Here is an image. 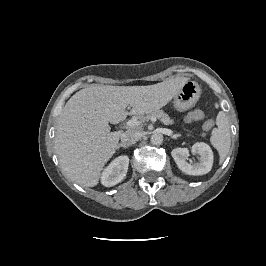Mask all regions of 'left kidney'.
I'll return each mask as SVG.
<instances>
[{
    "instance_id": "1",
    "label": "left kidney",
    "mask_w": 266,
    "mask_h": 266,
    "mask_svg": "<svg viewBox=\"0 0 266 266\" xmlns=\"http://www.w3.org/2000/svg\"><path fill=\"white\" fill-rule=\"evenodd\" d=\"M192 153L200 157V163L190 164L187 162L189 150L187 148H175L171 155L178 168L188 175H203L212 169L213 152L210 146L203 142H197L192 146Z\"/></svg>"
}]
</instances>
